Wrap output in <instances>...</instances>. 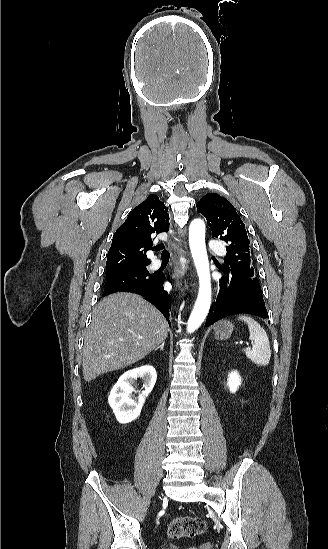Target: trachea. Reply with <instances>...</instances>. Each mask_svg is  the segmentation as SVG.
<instances>
[{
  "instance_id": "obj_1",
  "label": "trachea",
  "mask_w": 328,
  "mask_h": 549,
  "mask_svg": "<svg viewBox=\"0 0 328 549\" xmlns=\"http://www.w3.org/2000/svg\"><path fill=\"white\" fill-rule=\"evenodd\" d=\"M162 249H164L162 252V255H170L168 250L165 249L164 244H159L155 248H153V250H162Z\"/></svg>"
}]
</instances>
